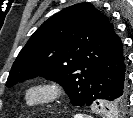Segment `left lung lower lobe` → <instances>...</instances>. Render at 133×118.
Returning a JSON list of instances; mask_svg holds the SVG:
<instances>
[{"instance_id": "1", "label": "left lung lower lobe", "mask_w": 133, "mask_h": 118, "mask_svg": "<svg viewBox=\"0 0 133 118\" xmlns=\"http://www.w3.org/2000/svg\"><path fill=\"white\" fill-rule=\"evenodd\" d=\"M126 63L121 39L117 36L92 77L85 105H101L120 98H128Z\"/></svg>"}]
</instances>
